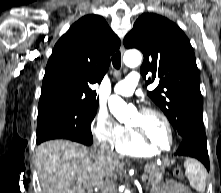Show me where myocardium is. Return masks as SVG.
<instances>
[{"instance_id": "f54148a6", "label": "myocardium", "mask_w": 221, "mask_h": 193, "mask_svg": "<svg viewBox=\"0 0 221 193\" xmlns=\"http://www.w3.org/2000/svg\"><path fill=\"white\" fill-rule=\"evenodd\" d=\"M141 114H154L158 117H160L163 122L165 123L169 135H170V145L168 148H161L154 144L149 138L146 136V134L143 132L142 129L134 127V126H129V130L131 133L135 136V138L142 143L144 146L148 147L149 149L153 150L154 152H159V153H164L170 151L175 143V134H174V129L173 126L168 119V117L159 109L153 108V107H144L140 110Z\"/></svg>"}]
</instances>
